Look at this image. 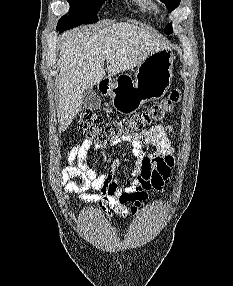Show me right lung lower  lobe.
<instances>
[{
    "label": "right lung lower lobe",
    "instance_id": "right-lung-lower-lobe-1",
    "mask_svg": "<svg viewBox=\"0 0 233 286\" xmlns=\"http://www.w3.org/2000/svg\"><path fill=\"white\" fill-rule=\"evenodd\" d=\"M68 28H61V29H57V30H59V32H62V31H64V30H67Z\"/></svg>",
    "mask_w": 233,
    "mask_h": 286
}]
</instances>
